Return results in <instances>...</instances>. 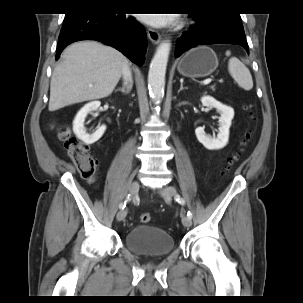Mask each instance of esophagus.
<instances>
[{
	"label": "esophagus",
	"mask_w": 303,
	"mask_h": 303,
	"mask_svg": "<svg viewBox=\"0 0 303 303\" xmlns=\"http://www.w3.org/2000/svg\"><path fill=\"white\" fill-rule=\"evenodd\" d=\"M147 35L151 42L154 44H158L161 41V35L152 28L147 29Z\"/></svg>",
	"instance_id": "1"
}]
</instances>
